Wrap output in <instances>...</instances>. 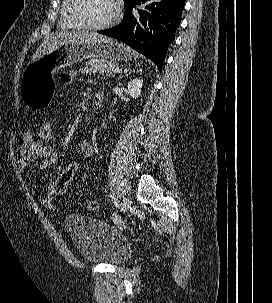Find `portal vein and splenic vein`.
I'll return each instance as SVG.
<instances>
[{"label":"portal vein and splenic vein","mask_w":272,"mask_h":303,"mask_svg":"<svg viewBox=\"0 0 272 303\" xmlns=\"http://www.w3.org/2000/svg\"><path fill=\"white\" fill-rule=\"evenodd\" d=\"M114 72H116V73H121V72H122V69L119 68V67H118V68H115V69H114Z\"/></svg>","instance_id":"obj_1"}]
</instances>
